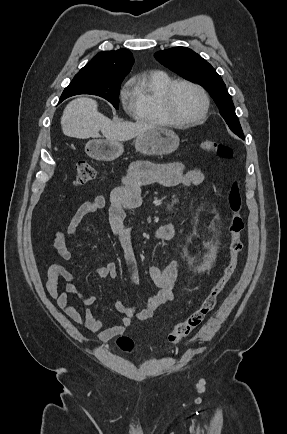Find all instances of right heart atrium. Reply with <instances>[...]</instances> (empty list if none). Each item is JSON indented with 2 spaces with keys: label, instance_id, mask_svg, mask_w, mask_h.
I'll use <instances>...</instances> for the list:
<instances>
[{
  "label": "right heart atrium",
  "instance_id": "1",
  "mask_svg": "<svg viewBox=\"0 0 287 434\" xmlns=\"http://www.w3.org/2000/svg\"><path fill=\"white\" fill-rule=\"evenodd\" d=\"M120 97H121L123 104L127 107L131 101V93H130L128 85H126L121 90Z\"/></svg>",
  "mask_w": 287,
  "mask_h": 434
}]
</instances>
